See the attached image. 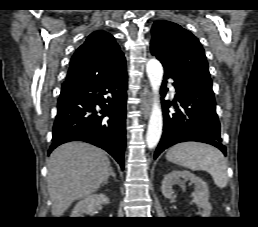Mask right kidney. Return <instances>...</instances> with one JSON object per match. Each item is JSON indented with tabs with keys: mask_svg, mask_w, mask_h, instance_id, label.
<instances>
[{
	"mask_svg": "<svg viewBox=\"0 0 258 227\" xmlns=\"http://www.w3.org/2000/svg\"><path fill=\"white\" fill-rule=\"evenodd\" d=\"M109 204V198L104 194H93L78 202L71 217H84V214H93L100 205Z\"/></svg>",
	"mask_w": 258,
	"mask_h": 227,
	"instance_id": "obj_1",
	"label": "right kidney"
}]
</instances>
